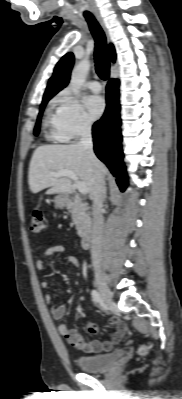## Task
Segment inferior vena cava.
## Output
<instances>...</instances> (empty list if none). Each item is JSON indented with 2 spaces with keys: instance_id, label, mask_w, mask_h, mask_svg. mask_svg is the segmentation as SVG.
<instances>
[{
  "instance_id": "1",
  "label": "inferior vena cava",
  "mask_w": 182,
  "mask_h": 399,
  "mask_svg": "<svg viewBox=\"0 0 182 399\" xmlns=\"http://www.w3.org/2000/svg\"><path fill=\"white\" fill-rule=\"evenodd\" d=\"M78 144L85 150L90 160L96 167L93 192V230L91 237V259L94 271L99 272L101 269L102 261V234L104 225L102 207L105 199L106 187L104 175L97 169L98 159L93 151L91 123L89 121H84L81 126V138Z\"/></svg>"
}]
</instances>
